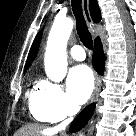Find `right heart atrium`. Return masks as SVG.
<instances>
[{
  "label": "right heart atrium",
  "mask_w": 136,
  "mask_h": 136,
  "mask_svg": "<svg viewBox=\"0 0 136 136\" xmlns=\"http://www.w3.org/2000/svg\"><path fill=\"white\" fill-rule=\"evenodd\" d=\"M37 102L50 121H59L75 111L62 87L48 80L38 84Z\"/></svg>",
  "instance_id": "d8ad5b80"
}]
</instances>
